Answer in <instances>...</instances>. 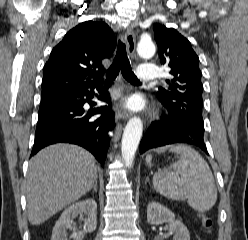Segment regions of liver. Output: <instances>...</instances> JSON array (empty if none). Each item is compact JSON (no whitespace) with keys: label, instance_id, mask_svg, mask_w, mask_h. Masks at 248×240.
<instances>
[{"label":"liver","instance_id":"liver-1","mask_svg":"<svg viewBox=\"0 0 248 240\" xmlns=\"http://www.w3.org/2000/svg\"><path fill=\"white\" fill-rule=\"evenodd\" d=\"M97 180L95 158L71 144H55L29 162L26 181L28 219L39 225L80 199Z\"/></svg>","mask_w":248,"mask_h":240}]
</instances>
